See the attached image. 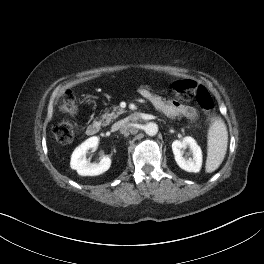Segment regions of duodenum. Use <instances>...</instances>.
<instances>
[{"label": "duodenum", "instance_id": "410a0bca", "mask_svg": "<svg viewBox=\"0 0 264 264\" xmlns=\"http://www.w3.org/2000/svg\"><path fill=\"white\" fill-rule=\"evenodd\" d=\"M100 130V123L98 121H94L88 125L86 133L89 136H95L99 133Z\"/></svg>", "mask_w": 264, "mask_h": 264}]
</instances>
